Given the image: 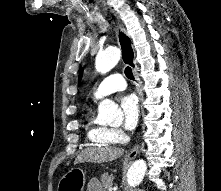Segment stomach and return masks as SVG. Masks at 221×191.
Instances as JSON below:
<instances>
[{
	"label": "stomach",
	"instance_id": "0dacf381",
	"mask_svg": "<svg viewBox=\"0 0 221 191\" xmlns=\"http://www.w3.org/2000/svg\"><path fill=\"white\" fill-rule=\"evenodd\" d=\"M86 173L81 168H71L59 181L57 191H83Z\"/></svg>",
	"mask_w": 221,
	"mask_h": 191
}]
</instances>
